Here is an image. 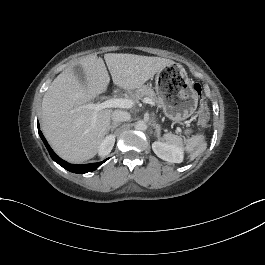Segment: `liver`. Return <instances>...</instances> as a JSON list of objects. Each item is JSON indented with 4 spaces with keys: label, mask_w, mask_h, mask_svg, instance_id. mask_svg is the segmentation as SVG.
<instances>
[{
    "label": "liver",
    "mask_w": 265,
    "mask_h": 265,
    "mask_svg": "<svg viewBox=\"0 0 265 265\" xmlns=\"http://www.w3.org/2000/svg\"><path fill=\"white\" fill-rule=\"evenodd\" d=\"M104 60L118 89L132 92L142 87L172 60L132 54H105ZM80 67L83 80L75 74ZM110 77L101 58L86 56L66 68L49 85L42 99V131L63 159L82 163L93 158L111 130L113 110H94L84 104L108 91Z\"/></svg>",
    "instance_id": "6515ba94"
}]
</instances>
